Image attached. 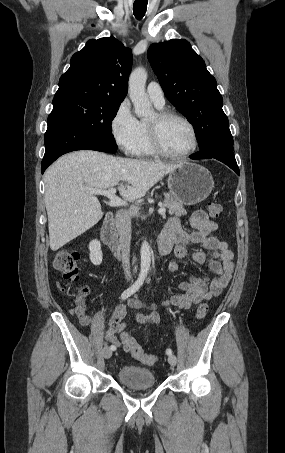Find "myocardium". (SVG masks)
I'll return each mask as SVG.
<instances>
[{"instance_id": "obj_1", "label": "myocardium", "mask_w": 285, "mask_h": 453, "mask_svg": "<svg viewBox=\"0 0 285 453\" xmlns=\"http://www.w3.org/2000/svg\"><path fill=\"white\" fill-rule=\"evenodd\" d=\"M155 116H156L155 122L153 123L147 122V130L150 144L153 150L156 152V154L172 159H182L190 156L192 153L195 152L199 144L198 133L195 125L186 116L171 110H159L158 112L155 113ZM171 118H176L183 121L191 130L193 143L192 146L185 152L172 153L168 151L163 145L160 131L161 125Z\"/></svg>"}]
</instances>
